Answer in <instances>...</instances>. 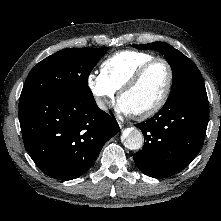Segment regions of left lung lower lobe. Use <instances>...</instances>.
I'll use <instances>...</instances> for the list:
<instances>
[{"label":"left lung lower lobe","mask_w":221,"mask_h":221,"mask_svg":"<svg viewBox=\"0 0 221 221\" xmlns=\"http://www.w3.org/2000/svg\"><path fill=\"white\" fill-rule=\"evenodd\" d=\"M208 120L207 94L169 99L155 116L135 125L146 140L134 154L138 169L153 178L182 171L201 150Z\"/></svg>","instance_id":"0a47b994"}]
</instances>
